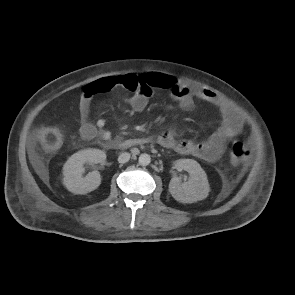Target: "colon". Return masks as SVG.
I'll use <instances>...</instances> for the list:
<instances>
[{
  "mask_svg": "<svg viewBox=\"0 0 295 295\" xmlns=\"http://www.w3.org/2000/svg\"><path fill=\"white\" fill-rule=\"evenodd\" d=\"M127 87L135 89L138 86V80L135 76H127L125 79ZM37 138L41 145L48 151H54L61 147L63 143V135L61 131L54 127H46L41 129ZM230 160L234 165L244 164L250 157V149L240 141H235L230 146Z\"/></svg>",
  "mask_w": 295,
  "mask_h": 295,
  "instance_id": "obj_1",
  "label": "colon"
}]
</instances>
